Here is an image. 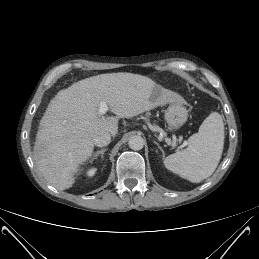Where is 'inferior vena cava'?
<instances>
[{"instance_id":"602c4592","label":"inferior vena cava","mask_w":259,"mask_h":259,"mask_svg":"<svg viewBox=\"0 0 259 259\" xmlns=\"http://www.w3.org/2000/svg\"><path fill=\"white\" fill-rule=\"evenodd\" d=\"M110 142H111V134L109 132L100 133L93 139V143L97 147L107 146Z\"/></svg>"}]
</instances>
